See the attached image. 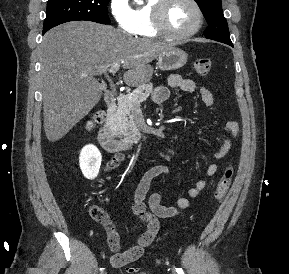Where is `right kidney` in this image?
Wrapping results in <instances>:
<instances>
[{
    "instance_id": "1",
    "label": "right kidney",
    "mask_w": 289,
    "mask_h": 274,
    "mask_svg": "<svg viewBox=\"0 0 289 274\" xmlns=\"http://www.w3.org/2000/svg\"><path fill=\"white\" fill-rule=\"evenodd\" d=\"M101 160V153L96 146L87 145L81 150L79 164L85 178L92 180L98 176Z\"/></svg>"
}]
</instances>
